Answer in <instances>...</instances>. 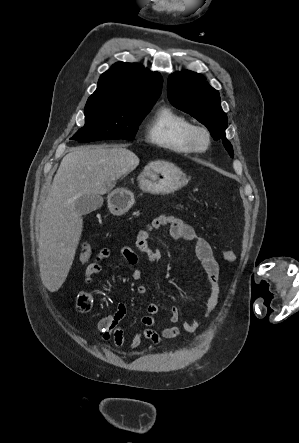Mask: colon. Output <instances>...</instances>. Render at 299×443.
Returning a JSON list of instances; mask_svg holds the SVG:
<instances>
[{"label": "colon", "mask_w": 299, "mask_h": 443, "mask_svg": "<svg viewBox=\"0 0 299 443\" xmlns=\"http://www.w3.org/2000/svg\"><path fill=\"white\" fill-rule=\"evenodd\" d=\"M92 256V247L89 243H84L81 246L80 252H79V261L81 263H87ZM223 258L230 263H234L236 261V255L231 250H224L223 251Z\"/></svg>", "instance_id": "5ec220e1"}]
</instances>
